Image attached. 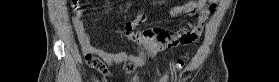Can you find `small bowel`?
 <instances>
[{
    "instance_id": "small-bowel-1",
    "label": "small bowel",
    "mask_w": 279,
    "mask_h": 82,
    "mask_svg": "<svg viewBox=\"0 0 279 82\" xmlns=\"http://www.w3.org/2000/svg\"><path fill=\"white\" fill-rule=\"evenodd\" d=\"M70 6L77 10L73 18V26L86 62L89 67L102 75L109 73L107 65L117 66L123 62L131 63L125 70L127 74H130L134 70V66L144 65L151 57L166 49L194 43L203 30L207 19L216 10V5L205 1H189L173 7L169 12V16L172 18L196 10L192 20L186 22L176 31L163 27H153L137 31L135 27L144 20L142 15L137 20L126 23L125 32L127 37L147 49L145 54L134 55L127 52H107L93 46L86 32L80 11V3L71 1Z\"/></svg>"
}]
</instances>
